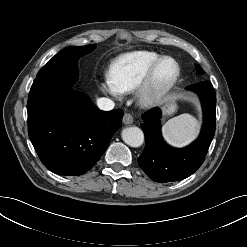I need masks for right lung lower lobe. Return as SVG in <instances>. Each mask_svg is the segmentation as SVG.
I'll list each match as a JSON object with an SVG mask.
<instances>
[{
  "instance_id": "1",
  "label": "right lung lower lobe",
  "mask_w": 247,
  "mask_h": 247,
  "mask_svg": "<svg viewBox=\"0 0 247 247\" xmlns=\"http://www.w3.org/2000/svg\"><path fill=\"white\" fill-rule=\"evenodd\" d=\"M28 134L42 163L53 173L87 172L121 127L124 112L101 111L90 98L70 86L31 87Z\"/></svg>"
}]
</instances>
